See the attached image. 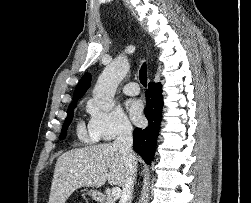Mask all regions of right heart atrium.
Masks as SVG:
<instances>
[{
	"instance_id": "d8ad5b80",
	"label": "right heart atrium",
	"mask_w": 251,
	"mask_h": 203,
	"mask_svg": "<svg viewBox=\"0 0 251 203\" xmlns=\"http://www.w3.org/2000/svg\"><path fill=\"white\" fill-rule=\"evenodd\" d=\"M89 130L103 141L109 142L117 137L131 133L132 125L127 116L120 110L103 111L95 104L89 105Z\"/></svg>"
}]
</instances>
